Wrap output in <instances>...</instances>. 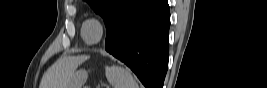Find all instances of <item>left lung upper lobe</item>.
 Here are the masks:
<instances>
[{
	"label": "left lung upper lobe",
	"mask_w": 267,
	"mask_h": 88,
	"mask_svg": "<svg viewBox=\"0 0 267 88\" xmlns=\"http://www.w3.org/2000/svg\"><path fill=\"white\" fill-rule=\"evenodd\" d=\"M91 8L100 14L109 30L123 11L135 0H85Z\"/></svg>",
	"instance_id": "left-lung-upper-lobe-1"
}]
</instances>
